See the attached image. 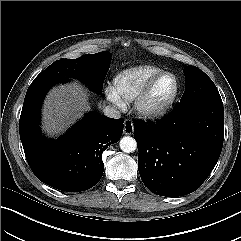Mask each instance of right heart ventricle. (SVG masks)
Wrapping results in <instances>:
<instances>
[{
	"instance_id": "right-heart-ventricle-1",
	"label": "right heart ventricle",
	"mask_w": 241,
	"mask_h": 241,
	"mask_svg": "<svg viewBox=\"0 0 241 241\" xmlns=\"http://www.w3.org/2000/svg\"><path fill=\"white\" fill-rule=\"evenodd\" d=\"M163 70L154 65H138L118 72L112 80L113 88L123 100L131 102L144 86Z\"/></svg>"
}]
</instances>
